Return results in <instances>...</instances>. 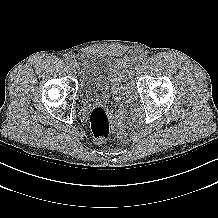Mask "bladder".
<instances>
[{
	"mask_svg": "<svg viewBox=\"0 0 218 218\" xmlns=\"http://www.w3.org/2000/svg\"><path fill=\"white\" fill-rule=\"evenodd\" d=\"M79 93L84 103L107 100L121 93L130 84L133 59L128 56L110 57L91 52L80 55Z\"/></svg>",
	"mask_w": 218,
	"mask_h": 218,
	"instance_id": "1",
	"label": "bladder"
}]
</instances>
